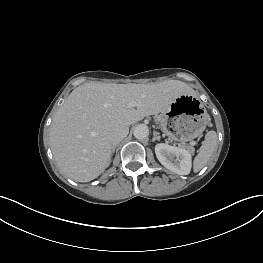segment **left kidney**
Segmentation results:
<instances>
[{
    "label": "left kidney",
    "mask_w": 263,
    "mask_h": 263,
    "mask_svg": "<svg viewBox=\"0 0 263 263\" xmlns=\"http://www.w3.org/2000/svg\"><path fill=\"white\" fill-rule=\"evenodd\" d=\"M155 154L159 162L168 170L188 175L191 170V153L183 148L160 143L155 146Z\"/></svg>",
    "instance_id": "5707ae66"
}]
</instances>
